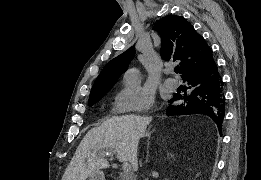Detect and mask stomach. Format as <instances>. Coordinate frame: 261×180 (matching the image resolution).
Instances as JSON below:
<instances>
[{"label": "stomach", "mask_w": 261, "mask_h": 180, "mask_svg": "<svg viewBox=\"0 0 261 180\" xmlns=\"http://www.w3.org/2000/svg\"><path fill=\"white\" fill-rule=\"evenodd\" d=\"M88 180H105V176H104V173L102 171H95L93 172Z\"/></svg>", "instance_id": "obj_1"}]
</instances>
